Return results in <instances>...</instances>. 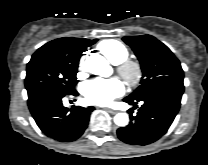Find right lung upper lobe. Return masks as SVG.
Returning <instances> with one entry per match:
<instances>
[{"mask_svg":"<svg viewBox=\"0 0 208 165\" xmlns=\"http://www.w3.org/2000/svg\"><path fill=\"white\" fill-rule=\"evenodd\" d=\"M57 41L63 42L65 44L71 45V46H78V45H83V46H90L94 44L97 40H88V39H83V38H59L56 39Z\"/></svg>","mask_w":208,"mask_h":165,"instance_id":"right-lung-upper-lobe-1","label":"right lung upper lobe"}]
</instances>
